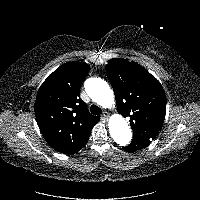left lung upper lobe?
I'll return each mask as SVG.
<instances>
[{"label": "left lung upper lobe", "instance_id": "left-lung-upper-lobe-1", "mask_svg": "<svg viewBox=\"0 0 200 200\" xmlns=\"http://www.w3.org/2000/svg\"><path fill=\"white\" fill-rule=\"evenodd\" d=\"M106 75L113 87L117 110L130 117V147L143 149L156 138L166 113V97L159 81L136 62L123 58L108 61Z\"/></svg>", "mask_w": 200, "mask_h": 200}]
</instances>
